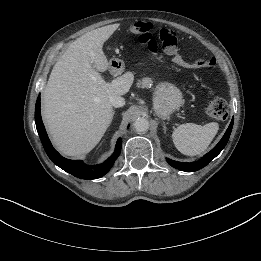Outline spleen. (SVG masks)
<instances>
[{
	"mask_svg": "<svg viewBox=\"0 0 261 261\" xmlns=\"http://www.w3.org/2000/svg\"><path fill=\"white\" fill-rule=\"evenodd\" d=\"M219 125L216 122L205 125L181 124L174 129L172 138L175 147L184 155L202 154L216 136Z\"/></svg>",
	"mask_w": 261,
	"mask_h": 261,
	"instance_id": "spleen-1",
	"label": "spleen"
}]
</instances>
